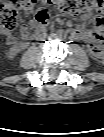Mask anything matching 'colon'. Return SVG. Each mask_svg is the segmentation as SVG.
<instances>
[{
	"label": "colon",
	"instance_id": "obj_1",
	"mask_svg": "<svg viewBox=\"0 0 104 137\" xmlns=\"http://www.w3.org/2000/svg\"><path fill=\"white\" fill-rule=\"evenodd\" d=\"M104 0H9L0 7V23L4 32L14 30L23 14L34 13L35 20L39 24H47L52 18L53 12L65 15H74L87 11L102 12ZM102 20H95L93 50L102 52L101 41L103 39Z\"/></svg>",
	"mask_w": 104,
	"mask_h": 137
}]
</instances>
